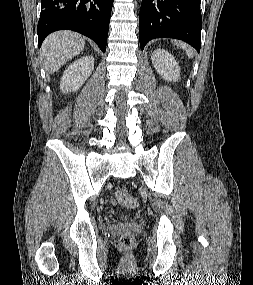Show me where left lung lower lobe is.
Returning <instances> with one entry per match:
<instances>
[{
	"label": "left lung lower lobe",
	"instance_id": "left-lung-lower-lobe-1",
	"mask_svg": "<svg viewBox=\"0 0 253 285\" xmlns=\"http://www.w3.org/2000/svg\"><path fill=\"white\" fill-rule=\"evenodd\" d=\"M201 0H143L139 14L140 47L154 38L180 39L200 51Z\"/></svg>",
	"mask_w": 253,
	"mask_h": 285
}]
</instances>
